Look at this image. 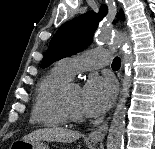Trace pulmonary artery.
Listing matches in <instances>:
<instances>
[{
    "instance_id": "obj_1",
    "label": "pulmonary artery",
    "mask_w": 155,
    "mask_h": 149,
    "mask_svg": "<svg viewBox=\"0 0 155 149\" xmlns=\"http://www.w3.org/2000/svg\"><path fill=\"white\" fill-rule=\"evenodd\" d=\"M110 58L111 53L107 49H91L60 60L58 66L68 77L72 78L80 71L108 65Z\"/></svg>"
}]
</instances>
